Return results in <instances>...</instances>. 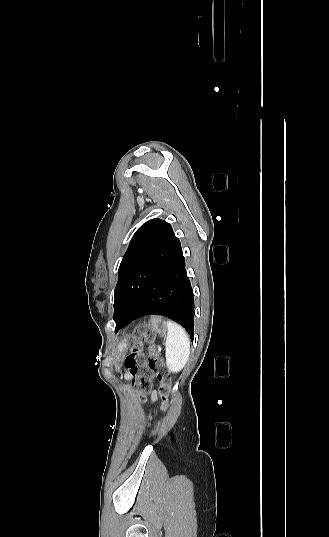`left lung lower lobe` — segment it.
Listing matches in <instances>:
<instances>
[{"label": "left lung lower lobe", "mask_w": 329, "mask_h": 537, "mask_svg": "<svg viewBox=\"0 0 329 537\" xmlns=\"http://www.w3.org/2000/svg\"><path fill=\"white\" fill-rule=\"evenodd\" d=\"M149 314H162L171 318L181 324L193 338L194 295L182 249L152 279L117 331L131 321Z\"/></svg>", "instance_id": "left-lung-lower-lobe-1"}]
</instances>
